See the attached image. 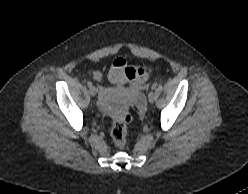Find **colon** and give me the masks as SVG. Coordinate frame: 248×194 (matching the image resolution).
I'll return each mask as SVG.
<instances>
[{
  "label": "colon",
  "instance_id": "colon-1",
  "mask_svg": "<svg viewBox=\"0 0 248 194\" xmlns=\"http://www.w3.org/2000/svg\"><path fill=\"white\" fill-rule=\"evenodd\" d=\"M132 120V114L127 112L120 120L113 123L111 128V137L116 147H125L127 143V127Z\"/></svg>",
  "mask_w": 248,
  "mask_h": 194
}]
</instances>
